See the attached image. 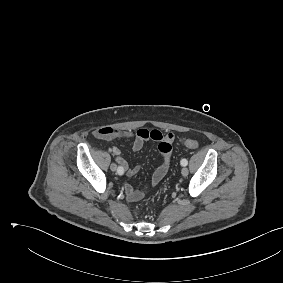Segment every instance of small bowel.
<instances>
[{"label":"small bowel","mask_w":283,"mask_h":283,"mask_svg":"<svg viewBox=\"0 0 283 283\" xmlns=\"http://www.w3.org/2000/svg\"><path fill=\"white\" fill-rule=\"evenodd\" d=\"M94 136L100 140L113 141L116 139H125L130 141L134 151H139L143 148L144 143L149 140L159 142L158 148L161 154V163L155 172L152 174L148 183L141 188H133L129 184H124L123 189L126 197L130 201L141 199L150 187L156 186L166 175L170 165V154L174 135L172 133L163 134L159 130H148L145 128L138 129L136 132L129 130H120L112 127H103L94 132ZM112 154L115 156L117 163L123 167L125 175L132 177L136 175L140 167H130L127 161L123 158L121 150L117 146L111 148Z\"/></svg>","instance_id":"small-bowel-1"}]
</instances>
